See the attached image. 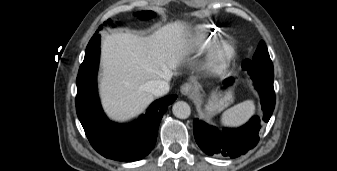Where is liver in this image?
I'll return each instance as SVG.
<instances>
[{"instance_id":"1","label":"liver","mask_w":337,"mask_h":171,"mask_svg":"<svg viewBox=\"0 0 337 171\" xmlns=\"http://www.w3.org/2000/svg\"><path fill=\"white\" fill-rule=\"evenodd\" d=\"M185 36L186 26L180 21L146 37L127 32L105 35L100 94L109 117L126 121L145 111L154 100L148 82L171 78L187 55Z\"/></svg>"}]
</instances>
